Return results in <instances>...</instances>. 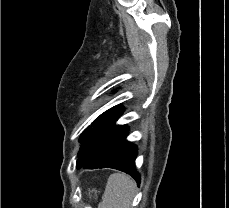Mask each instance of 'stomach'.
I'll return each mask as SVG.
<instances>
[{
    "label": "stomach",
    "instance_id": "stomach-1",
    "mask_svg": "<svg viewBox=\"0 0 229 208\" xmlns=\"http://www.w3.org/2000/svg\"><path fill=\"white\" fill-rule=\"evenodd\" d=\"M92 192H96V190H89V196H91Z\"/></svg>",
    "mask_w": 229,
    "mask_h": 208
}]
</instances>
